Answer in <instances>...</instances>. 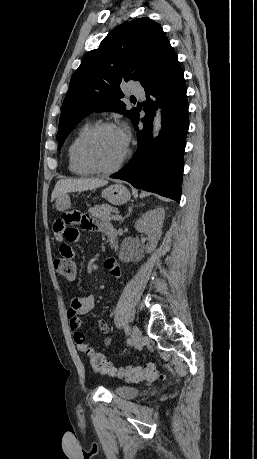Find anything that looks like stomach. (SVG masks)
Listing matches in <instances>:
<instances>
[{
    "label": "stomach",
    "instance_id": "obj_1",
    "mask_svg": "<svg viewBox=\"0 0 257 459\" xmlns=\"http://www.w3.org/2000/svg\"><path fill=\"white\" fill-rule=\"evenodd\" d=\"M102 197L114 205H121L130 200L129 190L122 184H113L102 191ZM71 205V199L68 194L57 197L55 206L59 211H65Z\"/></svg>",
    "mask_w": 257,
    "mask_h": 459
}]
</instances>
